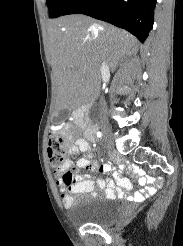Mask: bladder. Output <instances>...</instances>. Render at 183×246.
Instances as JSON below:
<instances>
[{"label": "bladder", "instance_id": "1", "mask_svg": "<svg viewBox=\"0 0 183 246\" xmlns=\"http://www.w3.org/2000/svg\"><path fill=\"white\" fill-rule=\"evenodd\" d=\"M122 211L116 200L96 198L90 202L86 211L75 215L77 224L106 225L115 220Z\"/></svg>", "mask_w": 183, "mask_h": 246}]
</instances>
